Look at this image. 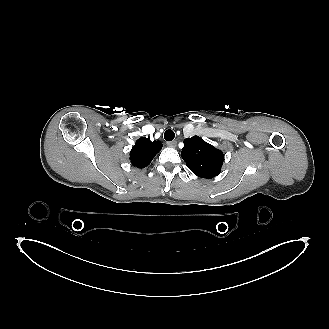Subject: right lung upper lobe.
I'll return each instance as SVG.
<instances>
[{
	"label": "right lung upper lobe",
	"mask_w": 329,
	"mask_h": 329,
	"mask_svg": "<svg viewBox=\"0 0 329 329\" xmlns=\"http://www.w3.org/2000/svg\"><path fill=\"white\" fill-rule=\"evenodd\" d=\"M160 141H150L149 138H139L130 151V160L133 166L143 168L149 165L155 155L161 150Z\"/></svg>",
	"instance_id": "cb5924a9"
}]
</instances>
